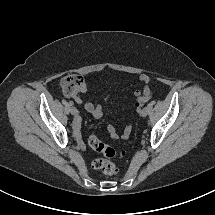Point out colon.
<instances>
[{"mask_svg": "<svg viewBox=\"0 0 215 215\" xmlns=\"http://www.w3.org/2000/svg\"><path fill=\"white\" fill-rule=\"evenodd\" d=\"M83 86L84 80L82 76L78 74H68L61 81L62 90L69 97H74L79 94L82 91ZM153 95L154 90L148 86L144 87L142 91H136V108L139 109L141 105L152 98ZM88 144L101 155L93 161L92 166L105 175L111 176L117 174L118 168L111 161L112 158L117 156L116 151L112 147L101 142L95 135H90L88 137Z\"/></svg>", "mask_w": 215, "mask_h": 215, "instance_id": "obj_1", "label": "colon"}]
</instances>
